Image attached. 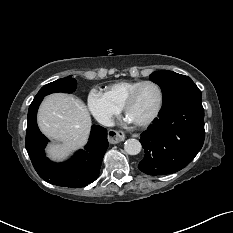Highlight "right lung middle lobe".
Listing matches in <instances>:
<instances>
[{"label": "right lung middle lobe", "instance_id": "1", "mask_svg": "<svg viewBox=\"0 0 233 233\" xmlns=\"http://www.w3.org/2000/svg\"><path fill=\"white\" fill-rule=\"evenodd\" d=\"M77 82L71 76L66 78L58 79L54 82L46 84L43 86L35 97H44L53 92H65L71 93L76 89Z\"/></svg>", "mask_w": 233, "mask_h": 233}]
</instances>
